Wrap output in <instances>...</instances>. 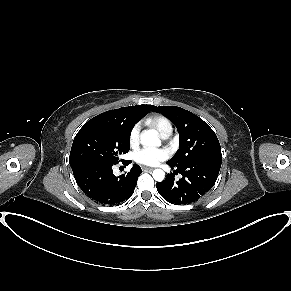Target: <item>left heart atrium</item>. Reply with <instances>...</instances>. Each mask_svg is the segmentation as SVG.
<instances>
[{
  "label": "left heart atrium",
  "mask_w": 291,
  "mask_h": 291,
  "mask_svg": "<svg viewBox=\"0 0 291 291\" xmlns=\"http://www.w3.org/2000/svg\"><path fill=\"white\" fill-rule=\"evenodd\" d=\"M168 152L165 149L145 147L135 153V160L145 165H156L167 158Z\"/></svg>",
  "instance_id": "1"
}]
</instances>
